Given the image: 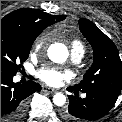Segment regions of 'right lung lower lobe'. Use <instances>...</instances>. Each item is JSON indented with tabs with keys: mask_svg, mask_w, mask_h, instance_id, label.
<instances>
[{
	"mask_svg": "<svg viewBox=\"0 0 122 122\" xmlns=\"http://www.w3.org/2000/svg\"><path fill=\"white\" fill-rule=\"evenodd\" d=\"M13 76L1 71V122H21L26 114V98L41 90L34 81L14 83Z\"/></svg>",
	"mask_w": 122,
	"mask_h": 122,
	"instance_id": "obj_1",
	"label": "right lung lower lobe"
}]
</instances>
